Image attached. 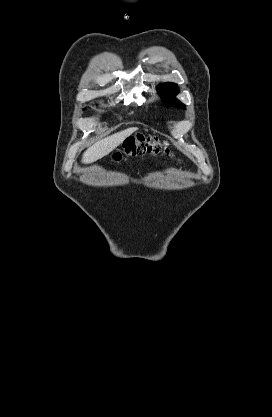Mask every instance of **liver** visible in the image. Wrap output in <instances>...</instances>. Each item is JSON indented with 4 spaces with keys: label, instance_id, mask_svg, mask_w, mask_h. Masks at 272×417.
<instances>
[{
    "label": "liver",
    "instance_id": "1",
    "mask_svg": "<svg viewBox=\"0 0 272 417\" xmlns=\"http://www.w3.org/2000/svg\"><path fill=\"white\" fill-rule=\"evenodd\" d=\"M136 130H138L136 127L127 128L123 131L99 140L84 152L82 156V162L89 164L98 159H101L116 149L121 143H123V141H125L127 137L132 135Z\"/></svg>",
    "mask_w": 272,
    "mask_h": 417
}]
</instances>
